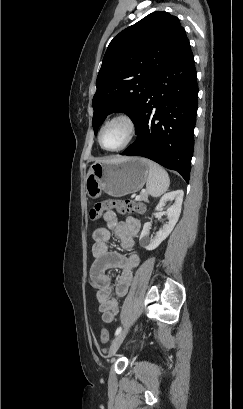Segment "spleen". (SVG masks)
<instances>
[{
    "instance_id": "3e777b00",
    "label": "spleen",
    "mask_w": 243,
    "mask_h": 409,
    "mask_svg": "<svg viewBox=\"0 0 243 409\" xmlns=\"http://www.w3.org/2000/svg\"><path fill=\"white\" fill-rule=\"evenodd\" d=\"M149 167V175L146 183L148 193L153 197H159L164 194L170 185V179L168 173L160 165L149 161L147 159H141Z\"/></svg>"
}]
</instances>
